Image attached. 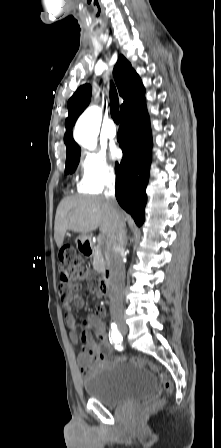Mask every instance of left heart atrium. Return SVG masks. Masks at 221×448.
<instances>
[{"instance_id": "left-heart-atrium-1", "label": "left heart atrium", "mask_w": 221, "mask_h": 448, "mask_svg": "<svg viewBox=\"0 0 221 448\" xmlns=\"http://www.w3.org/2000/svg\"><path fill=\"white\" fill-rule=\"evenodd\" d=\"M112 154H113L114 156H119L120 152H119L117 149H114V150L112 151Z\"/></svg>"}]
</instances>
